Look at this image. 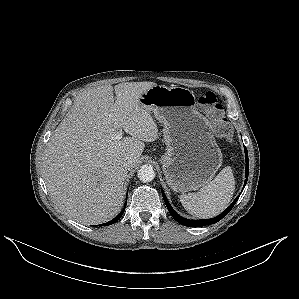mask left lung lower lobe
Masks as SVG:
<instances>
[{
    "label": "left lung lower lobe",
    "mask_w": 299,
    "mask_h": 299,
    "mask_svg": "<svg viewBox=\"0 0 299 299\" xmlns=\"http://www.w3.org/2000/svg\"><path fill=\"white\" fill-rule=\"evenodd\" d=\"M244 150H245V160H246V179L244 182V186L247 183V179H248V173H249V162H248V152L246 147L244 146ZM162 196L163 199L165 201V204L167 206L168 211L170 212V214L172 215V217L180 224L184 225V226H189V227H201V226H205V225H210V224H214L218 221H220L223 217H225L229 211L233 208V206L235 205V203L237 202L239 196L234 200V202L224 211L222 212L220 215H218L217 217L211 218V219H205V220H189L186 218L181 217L180 215H178L173 208L171 207V205L169 204L164 192L162 191Z\"/></svg>",
    "instance_id": "0a47b994"
}]
</instances>
